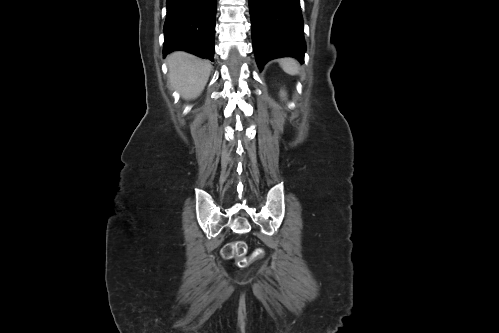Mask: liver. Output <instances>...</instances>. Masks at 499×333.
<instances>
[{"mask_svg":"<svg viewBox=\"0 0 499 333\" xmlns=\"http://www.w3.org/2000/svg\"><path fill=\"white\" fill-rule=\"evenodd\" d=\"M169 81L185 99L197 97L204 89L211 71V64L192 54L177 51L167 57Z\"/></svg>","mask_w":499,"mask_h":333,"instance_id":"6515ba94","label":"liver"}]
</instances>
